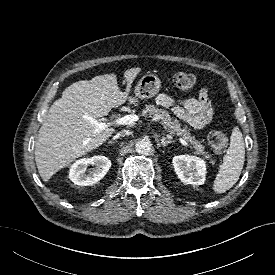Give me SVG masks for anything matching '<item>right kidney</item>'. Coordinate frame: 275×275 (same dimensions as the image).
Wrapping results in <instances>:
<instances>
[{
    "mask_svg": "<svg viewBox=\"0 0 275 275\" xmlns=\"http://www.w3.org/2000/svg\"><path fill=\"white\" fill-rule=\"evenodd\" d=\"M93 168L86 170L89 166ZM111 167V161L105 156H94L77 160L69 172L70 180L79 186H89L100 181Z\"/></svg>",
    "mask_w": 275,
    "mask_h": 275,
    "instance_id": "right-kidney-1",
    "label": "right kidney"
}]
</instances>
